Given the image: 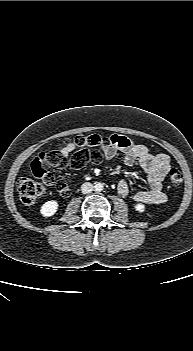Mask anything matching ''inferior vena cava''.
Returning <instances> with one entry per match:
<instances>
[{
    "label": "inferior vena cava",
    "instance_id": "602c4592",
    "mask_svg": "<svg viewBox=\"0 0 193 351\" xmlns=\"http://www.w3.org/2000/svg\"><path fill=\"white\" fill-rule=\"evenodd\" d=\"M93 189H94V186L89 182H86L81 186V191L83 194L91 193Z\"/></svg>",
    "mask_w": 193,
    "mask_h": 351
}]
</instances>
